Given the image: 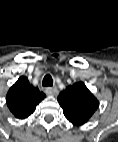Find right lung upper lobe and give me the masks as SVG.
Instances as JSON below:
<instances>
[{"instance_id": "cb5924a9", "label": "right lung upper lobe", "mask_w": 118, "mask_h": 142, "mask_svg": "<svg viewBox=\"0 0 118 142\" xmlns=\"http://www.w3.org/2000/svg\"><path fill=\"white\" fill-rule=\"evenodd\" d=\"M45 94L31 85L26 77L21 76L9 89L6 103L12 114L19 119L30 116L43 99Z\"/></svg>"}]
</instances>
